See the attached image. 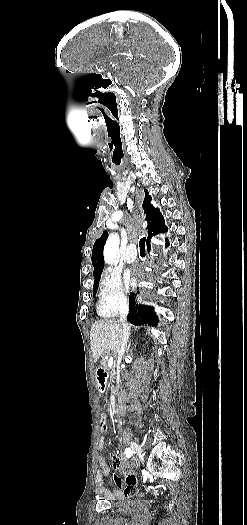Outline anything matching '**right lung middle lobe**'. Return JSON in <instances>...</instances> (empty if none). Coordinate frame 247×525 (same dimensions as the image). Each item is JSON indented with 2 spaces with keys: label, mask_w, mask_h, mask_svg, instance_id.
Returning a JSON list of instances; mask_svg holds the SVG:
<instances>
[{
  "label": "right lung middle lobe",
  "mask_w": 247,
  "mask_h": 525,
  "mask_svg": "<svg viewBox=\"0 0 247 525\" xmlns=\"http://www.w3.org/2000/svg\"><path fill=\"white\" fill-rule=\"evenodd\" d=\"M94 279H95V280H94L93 294H95V292H96V289H97V286H98V281H99V279H100V275H98V276H94Z\"/></svg>",
  "instance_id": "dd1d6c3e"
}]
</instances>
